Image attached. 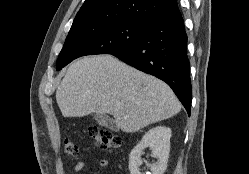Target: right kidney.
I'll return each instance as SVG.
<instances>
[{"label": "right kidney", "mask_w": 249, "mask_h": 174, "mask_svg": "<svg viewBox=\"0 0 249 174\" xmlns=\"http://www.w3.org/2000/svg\"><path fill=\"white\" fill-rule=\"evenodd\" d=\"M171 129L158 126L150 129L129 155L130 174H141L139 167L142 164L141 154L145 148H150L157 162L148 165L152 174H164L170 152Z\"/></svg>", "instance_id": "1"}]
</instances>
